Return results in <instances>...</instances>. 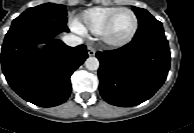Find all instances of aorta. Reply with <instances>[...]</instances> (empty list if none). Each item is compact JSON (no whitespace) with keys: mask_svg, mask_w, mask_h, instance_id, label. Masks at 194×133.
<instances>
[{"mask_svg":"<svg viewBox=\"0 0 194 133\" xmlns=\"http://www.w3.org/2000/svg\"><path fill=\"white\" fill-rule=\"evenodd\" d=\"M85 67L88 70L94 71L99 68V60L96 57H89L85 61Z\"/></svg>","mask_w":194,"mask_h":133,"instance_id":"762f6f07","label":"aorta"}]
</instances>
